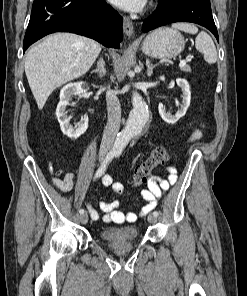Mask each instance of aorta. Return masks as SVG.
<instances>
[{"label": "aorta", "mask_w": 247, "mask_h": 296, "mask_svg": "<svg viewBox=\"0 0 247 296\" xmlns=\"http://www.w3.org/2000/svg\"><path fill=\"white\" fill-rule=\"evenodd\" d=\"M132 106L124 129L117 135L114 147L117 149H124L134 136L141 134L148 119L149 111L147 104L142 97L136 92L132 95Z\"/></svg>", "instance_id": "1"}]
</instances>
